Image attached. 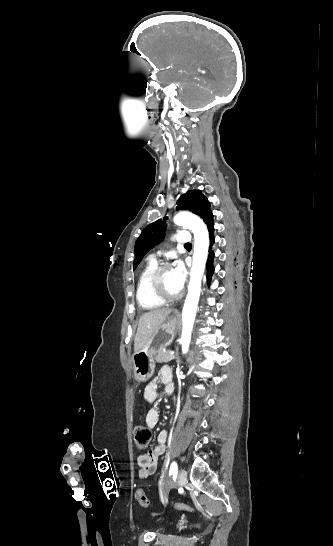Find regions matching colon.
Segmentation results:
<instances>
[{
	"label": "colon",
	"mask_w": 333,
	"mask_h": 546,
	"mask_svg": "<svg viewBox=\"0 0 333 546\" xmlns=\"http://www.w3.org/2000/svg\"><path fill=\"white\" fill-rule=\"evenodd\" d=\"M151 440V431L148 427L143 425H138L134 428V442L138 450H144L148 447ZM137 500L143 508H148L150 506V501L145 495V492L142 489L137 491ZM172 506L175 509L192 512L193 508L187 504L181 502H174Z\"/></svg>",
	"instance_id": "obj_1"
}]
</instances>
